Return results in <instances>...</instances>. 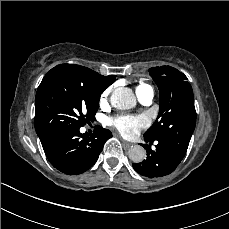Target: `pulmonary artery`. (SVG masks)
I'll use <instances>...</instances> for the list:
<instances>
[{
    "label": "pulmonary artery",
    "mask_w": 229,
    "mask_h": 229,
    "mask_svg": "<svg viewBox=\"0 0 229 229\" xmlns=\"http://www.w3.org/2000/svg\"><path fill=\"white\" fill-rule=\"evenodd\" d=\"M137 97L139 99V101L143 104V105H150L153 102L154 99V90L153 88H148L146 90L143 91H137Z\"/></svg>",
    "instance_id": "pulmonary-artery-1"
}]
</instances>
